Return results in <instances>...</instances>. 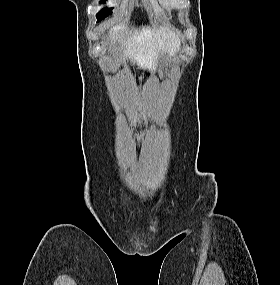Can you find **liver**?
Returning <instances> with one entry per match:
<instances>
[{"mask_svg": "<svg viewBox=\"0 0 280 285\" xmlns=\"http://www.w3.org/2000/svg\"><path fill=\"white\" fill-rule=\"evenodd\" d=\"M111 44H121L122 59L137 64L139 69L156 70L159 56H174L180 50V39L171 30L159 28H132L124 23L111 28L109 32Z\"/></svg>", "mask_w": 280, "mask_h": 285, "instance_id": "1", "label": "liver"}]
</instances>
